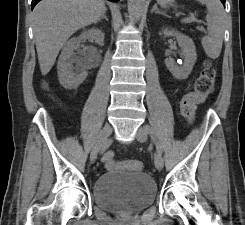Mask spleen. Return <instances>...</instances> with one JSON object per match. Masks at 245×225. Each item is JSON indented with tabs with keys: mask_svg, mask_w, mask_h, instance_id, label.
I'll return each instance as SVG.
<instances>
[{
	"mask_svg": "<svg viewBox=\"0 0 245 225\" xmlns=\"http://www.w3.org/2000/svg\"><path fill=\"white\" fill-rule=\"evenodd\" d=\"M207 7V31L208 34L202 38V46L210 58L220 55L225 31V11L220 0H197ZM168 0H157L162 7H166Z\"/></svg>",
	"mask_w": 245,
	"mask_h": 225,
	"instance_id": "spleen-1",
	"label": "spleen"
}]
</instances>
